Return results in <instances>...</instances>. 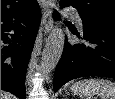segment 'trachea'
<instances>
[{
    "label": "trachea",
    "mask_w": 115,
    "mask_h": 99,
    "mask_svg": "<svg viewBox=\"0 0 115 99\" xmlns=\"http://www.w3.org/2000/svg\"><path fill=\"white\" fill-rule=\"evenodd\" d=\"M53 16H54V17H59L60 14H59L57 11L54 10V12H53Z\"/></svg>",
    "instance_id": "trachea-1"
}]
</instances>
